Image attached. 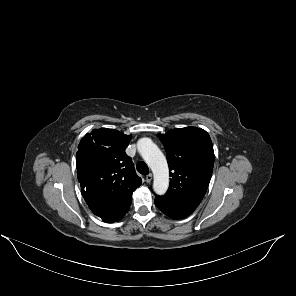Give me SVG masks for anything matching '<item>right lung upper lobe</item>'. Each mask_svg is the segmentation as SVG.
Masks as SVG:
<instances>
[{
    "mask_svg": "<svg viewBox=\"0 0 296 296\" xmlns=\"http://www.w3.org/2000/svg\"><path fill=\"white\" fill-rule=\"evenodd\" d=\"M131 140L115 129L100 128L80 141L76 169L86 203H106L131 198L141 185L125 149Z\"/></svg>",
    "mask_w": 296,
    "mask_h": 296,
    "instance_id": "obj_1",
    "label": "right lung upper lobe"
}]
</instances>
